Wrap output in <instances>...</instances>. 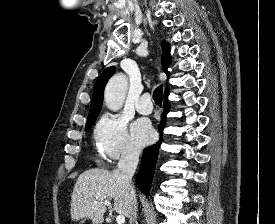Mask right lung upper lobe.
Segmentation results:
<instances>
[{
	"instance_id": "cb5924a9",
	"label": "right lung upper lobe",
	"mask_w": 275,
	"mask_h": 224,
	"mask_svg": "<svg viewBox=\"0 0 275 224\" xmlns=\"http://www.w3.org/2000/svg\"><path fill=\"white\" fill-rule=\"evenodd\" d=\"M162 67L164 72L167 75V78L169 79V72L167 71V67L170 64L171 56H170V47L167 42H162ZM115 67L111 66L106 68L100 77L98 78L95 86H94V92L93 97L91 101L89 116L87 119V123L93 120H96L98 114L101 110L102 100H103V94H104V87L109 80V78L114 74ZM168 88V87H167ZM166 88V89H167Z\"/></svg>"
}]
</instances>
